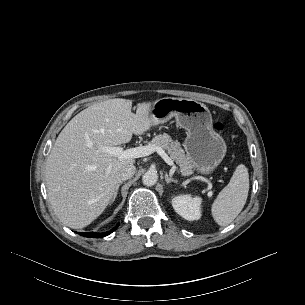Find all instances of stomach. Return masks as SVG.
Here are the masks:
<instances>
[{
    "mask_svg": "<svg viewBox=\"0 0 305 305\" xmlns=\"http://www.w3.org/2000/svg\"><path fill=\"white\" fill-rule=\"evenodd\" d=\"M149 117L152 126L175 117L177 124L187 131L183 145L197 172L209 174L223 160L226 143L214 131L212 116L205 104L187 98L166 97L152 105Z\"/></svg>",
    "mask_w": 305,
    "mask_h": 305,
    "instance_id": "1",
    "label": "stomach"
}]
</instances>
